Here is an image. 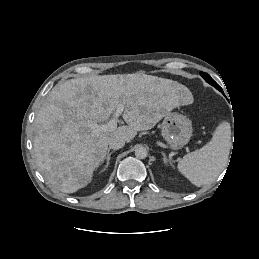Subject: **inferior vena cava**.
<instances>
[{"instance_id": "1", "label": "inferior vena cava", "mask_w": 259, "mask_h": 259, "mask_svg": "<svg viewBox=\"0 0 259 259\" xmlns=\"http://www.w3.org/2000/svg\"><path fill=\"white\" fill-rule=\"evenodd\" d=\"M125 145V141L123 139H120V138H113L110 140L109 142V147L111 149H120L122 148L123 146Z\"/></svg>"}]
</instances>
